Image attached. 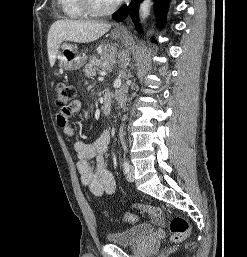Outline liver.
Segmentation results:
<instances>
[{"instance_id": "1", "label": "liver", "mask_w": 247, "mask_h": 257, "mask_svg": "<svg viewBox=\"0 0 247 257\" xmlns=\"http://www.w3.org/2000/svg\"><path fill=\"white\" fill-rule=\"evenodd\" d=\"M111 28V24L95 21L57 20L48 32L47 48L50 66L53 67L63 41L89 43L97 40Z\"/></svg>"}]
</instances>
